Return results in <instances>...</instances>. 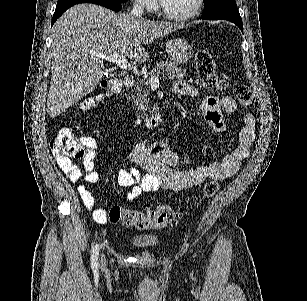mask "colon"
I'll use <instances>...</instances> for the list:
<instances>
[{
    "mask_svg": "<svg viewBox=\"0 0 307 301\" xmlns=\"http://www.w3.org/2000/svg\"><path fill=\"white\" fill-rule=\"evenodd\" d=\"M197 75L203 86L208 89H225L228 81L217 75L215 62L207 50H199L195 58ZM121 82L108 80L102 84V92L96 98H89L82 103V109L91 108L96 101L119 92ZM236 98L241 106H250L254 103V94L246 85H238L235 90ZM77 128H65L51 140L50 148L54 154H61L71 158H82L86 148ZM218 191L216 181L204 184L202 192L205 197H213ZM177 212L168 205H161L146 211L128 210L121 206H113L109 210V220L113 224L122 223L137 230L162 228L174 223Z\"/></svg>",
    "mask_w": 307,
    "mask_h": 301,
    "instance_id": "5ec220e1",
    "label": "colon"
}]
</instances>
